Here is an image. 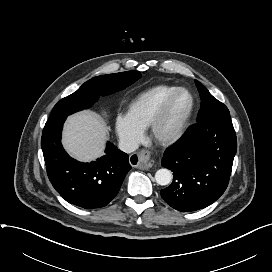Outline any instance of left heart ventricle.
Instances as JSON below:
<instances>
[{
    "label": "left heart ventricle",
    "mask_w": 272,
    "mask_h": 272,
    "mask_svg": "<svg viewBox=\"0 0 272 272\" xmlns=\"http://www.w3.org/2000/svg\"><path fill=\"white\" fill-rule=\"evenodd\" d=\"M190 107V95L186 92H181L180 94H178L172 103V106L165 121L161 126V133L163 135H168L172 133L185 118Z\"/></svg>",
    "instance_id": "1"
}]
</instances>
